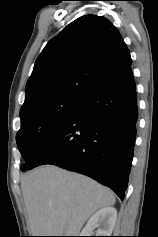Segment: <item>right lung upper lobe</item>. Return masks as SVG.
<instances>
[{
	"label": "right lung upper lobe",
	"instance_id": "obj_1",
	"mask_svg": "<svg viewBox=\"0 0 158 237\" xmlns=\"http://www.w3.org/2000/svg\"><path fill=\"white\" fill-rule=\"evenodd\" d=\"M131 63L126 44L108 19L82 16L50 40L38 56L20 114L55 98L84 101Z\"/></svg>",
	"mask_w": 158,
	"mask_h": 237
}]
</instances>
